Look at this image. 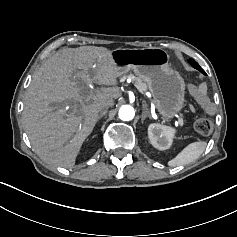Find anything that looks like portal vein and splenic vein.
<instances>
[{
  "label": "portal vein and splenic vein",
  "instance_id": "1",
  "mask_svg": "<svg viewBox=\"0 0 237 237\" xmlns=\"http://www.w3.org/2000/svg\"><path fill=\"white\" fill-rule=\"evenodd\" d=\"M178 120H179L180 128L183 129V121H182V117H179V116H178Z\"/></svg>",
  "mask_w": 237,
  "mask_h": 237
}]
</instances>
